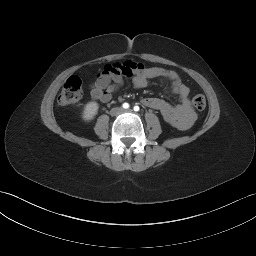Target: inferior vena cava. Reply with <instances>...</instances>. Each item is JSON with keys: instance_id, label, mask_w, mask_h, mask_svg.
<instances>
[{"instance_id": "1", "label": "inferior vena cava", "mask_w": 256, "mask_h": 256, "mask_svg": "<svg viewBox=\"0 0 256 256\" xmlns=\"http://www.w3.org/2000/svg\"><path fill=\"white\" fill-rule=\"evenodd\" d=\"M121 111H122L121 108H113L111 110V115H116V114L120 113Z\"/></svg>"}]
</instances>
